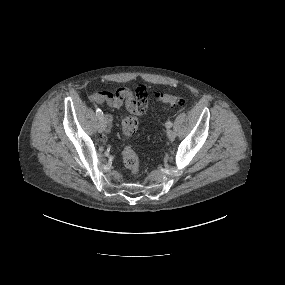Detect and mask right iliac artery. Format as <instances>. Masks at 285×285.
<instances>
[{
  "instance_id": "1",
  "label": "right iliac artery",
  "mask_w": 285,
  "mask_h": 285,
  "mask_svg": "<svg viewBox=\"0 0 285 285\" xmlns=\"http://www.w3.org/2000/svg\"><path fill=\"white\" fill-rule=\"evenodd\" d=\"M96 116L99 118V119H102L103 118V112L98 108L96 110Z\"/></svg>"
}]
</instances>
